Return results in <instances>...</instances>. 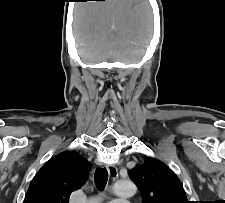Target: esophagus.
<instances>
[{
  "label": "esophagus",
  "mask_w": 225,
  "mask_h": 203,
  "mask_svg": "<svg viewBox=\"0 0 225 203\" xmlns=\"http://www.w3.org/2000/svg\"><path fill=\"white\" fill-rule=\"evenodd\" d=\"M107 170L113 180H115L118 177V170L115 165H109L107 167Z\"/></svg>",
  "instance_id": "esophagus-1"
}]
</instances>
